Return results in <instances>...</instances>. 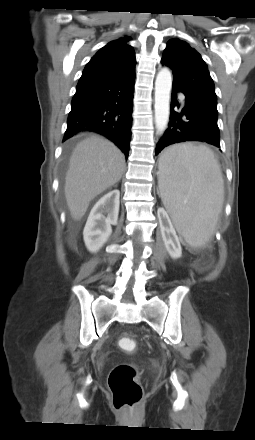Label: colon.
<instances>
[{
    "instance_id": "obj_1",
    "label": "colon",
    "mask_w": 255,
    "mask_h": 440,
    "mask_svg": "<svg viewBox=\"0 0 255 440\" xmlns=\"http://www.w3.org/2000/svg\"><path fill=\"white\" fill-rule=\"evenodd\" d=\"M118 345L124 351H133L136 348L134 339L128 336L120 337ZM108 386L116 409L134 408L142 399L139 373L132 364L116 365L110 372Z\"/></svg>"
}]
</instances>
